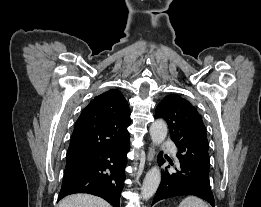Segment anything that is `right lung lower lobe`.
<instances>
[{
    "label": "right lung lower lobe",
    "mask_w": 261,
    "mask_h": 207,
    "mask_svg": "<svg viewBox=\"0 0 261 207\" xmlns=\"http://www.w3.org/2000/svg\"><path fill=\"white\" fill-rule=\"evenodd\" d=\"M129 149L128 141L117 148L67 162L58 201L73 193H89L119 207Z\"/></svg>",
    "instance_id": "right-lung-lower-lobe-1"
}]
</instances>
